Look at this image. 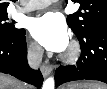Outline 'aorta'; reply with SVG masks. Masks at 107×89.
Wrapping results in <instances>:
<instances>
[{"label":"aorta","instance_id":"1","mask_svg":"<svg viewBox=\"0 0 107 89\" xmlns=\"http://www.w3.org/2000/svg\"><path fill=\"white\" fill-rule=\"evenodd\" d=\"M54 87H55L54 78L53 77H49L43 83L42 89H54Z\"/></svg>","mask_w":107,"mask_h":89}]
</instances>
